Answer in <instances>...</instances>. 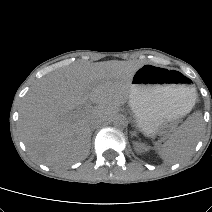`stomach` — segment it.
I'll return each mask as SVG.
<instances>
[{
  "mask_svg": "<svg viewBox=\"0 0 212 212\" xmlns=\"http://www.w3.org/2000/svg\"><path fill=\"white\" fill-rule=\"evenodd\" d=\"M195 100V87L178 71L147 63L132 77L129 105L146 136H154L162 124L187 114Z\"/></svg>",
  "mask_w": 212,
  "mask_h": 212,
  "instance_id": "obj_1",
  "label": "stomach"
}]
</instances>
